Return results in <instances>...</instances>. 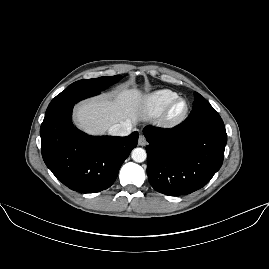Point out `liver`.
I'll return each mask as SVG.
<instances>
[{
	"label": "liver",
	"mask_w": 269,
	"mask_h": 269,
	"mask_svg": "<svg viewBox=\"0 0 269 269\" xmlns=\"http://www.w3.org/2000/svg\"><path fill=\"white\" fill-rule=\"evenodd\" d=\"M110 98L114 102H110ZM137 93L124 87L109 97L86 102L77 109V123L81 128L95 133L107 130L119 122L133 120L136 115Z\"/></svg>",
	"instance_id": "obj_1"
}]
</instances>
